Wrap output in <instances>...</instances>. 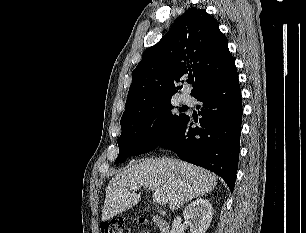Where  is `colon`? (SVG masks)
<instances>
[{
	"label": "colon",
	"mask_w": 306,
	"mask_h": 233,
	"mask_svg": "<svg viewBox=\"0 0 306 233\" xmlns=\"http://www.w3.org/2000/svg\"><path fill=\"white\" fill-rule=\"evenodd\" d=\"M125 229V222L122 219L116 218L101 225L102 233H123Z\"/></svg>",
	"instance_id": "5ec220e1"
}]
</instances>
